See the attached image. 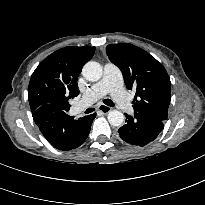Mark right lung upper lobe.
<instances>
[{
    "label": "right lung upper lobe",
    "mask_w": 205,
    "mask_h": 205,
    "mask_svg": "<svg viewBox=\"0 0 205 205\" xmlns=\"http://www.w3.org/2000/svg\"><path fill=\"white\" fill-rule=\"evenodd\" d=\"M94 52L95 47L69 46L45 58L35 69L29 82L28 98L31 111L44 104H54L58 95L76 97L79 94L78 76Z\"/></svg>",
    "instance_id": "cb5924a9"
}]
</instances>
